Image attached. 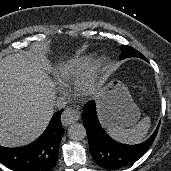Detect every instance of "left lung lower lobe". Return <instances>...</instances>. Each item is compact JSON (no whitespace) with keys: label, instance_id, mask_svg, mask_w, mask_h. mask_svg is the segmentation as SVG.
Returning a JSON list of instances; mask_svg holds the SVG:
<instances>
[{"label":"left lung lower lobe","instance_id":"left-lung-lower-lobe-1","mask_svg":"<svg viewBox=\"0 0 171 171\" xmlns=\"http://www.w3.org/2000/svg\"><path fill=\"white\" fill-rule=\"evenodd\" d=\"M86 128L89 148L94 161L108 170H117L141 158L152 145L159 125L153 135L138 145H124L111 139L100 126L94 102L85 105L82 114Z\"/></svg>","mask_w":171,"mask_h":171}]
</instances>
